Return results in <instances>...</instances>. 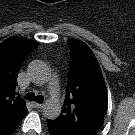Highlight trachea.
<instances>
[{
    "instance_id": "3493384b",
    "label": "trachea",
    "mask_w": 135,
    "mask_h": 135,
    "mask_svg": "<svg viewBox=\"0 0 135 135\" xmlns=\"http://www.w3.org/2000/svg\"><path fill=\"white\" fill-rule=\"evenodd\" d=\"M25 99L26 100H31V101H36L37 103H42L43 100H44L43 96H41V95L35 96V94L32 93V92L27 93L25 95Z\"/></svg>"
}]
</instances>
